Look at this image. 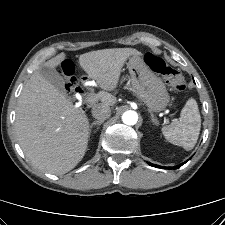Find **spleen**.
<instances>
[{"label": "spleen", "mask_w": 225, "mask_h": 225, "mask_svg": "<svg viewBox=\"0 0 225 225\" xmlns=\"http://www.w3.org/2000/svg\"><path fill=\"white\" fill-rule=\"evenodd\" d=\"M201 116L195 99L190 98L181 110L179 120L162 127L167 141L186 150L194 148L200 133Z\"/></svg>", "instance_id": "1"}]
</instances>
